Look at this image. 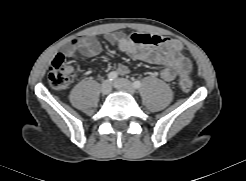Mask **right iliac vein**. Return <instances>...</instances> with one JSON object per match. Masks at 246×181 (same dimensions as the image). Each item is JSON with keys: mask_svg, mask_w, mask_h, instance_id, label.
Instances as JSON below:
<instances>
[{"mask_svg": "<svg viewBox=\"0 0 246 181\" xmlns=\"http://www.w3.org/2000/svg\"><path fill=\"white\" fill-rule=\"evenodd\" d=\"M111 89H112L111 82L108 81V80H105V81L102 83L101 89H100V90H101V93H102L103 95H107V94L110 93Z\"/></svg>", "mask_w": 246, "mask_h": 181, "instance_id": "1", "label": "right iliac vein"}]
</instances>
